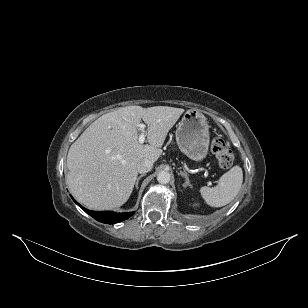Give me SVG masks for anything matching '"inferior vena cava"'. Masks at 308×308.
<instances>
[{"mask_svg": "<svg viewBox=\"0 0 308 308\" xmlns=\"http://www.w3.org/2000/svg\"><path fill=\"white\" fill-rule=\"evenodd\" d=\"M153 167V162L149 159H142L138 164H137V171L139 173H147L149 172Z\"/></svg>", "mask_w": 308, "mask_h": 308, "instance_id": "inferior-vena-cava-1", "label": "inferior vena cava"}]
</instances>
